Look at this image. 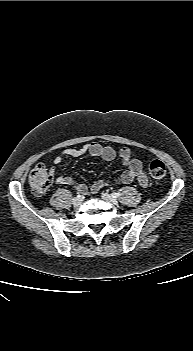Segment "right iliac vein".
Returning a JSON list of instances; mask_svg holds the SVG:
<instances>
[{
    "label": "right iliac vein",
    "instance_id": "63e3f726",
    "mask_svg": "<svg viewBox=\"0 0 193 351\" xmlns=\"http://www.w3.org/2000/svg\"><path fill=\"white\" fill-rule=\"evenodd\" d=\"M81 203H82V199H81V198L75 197V198L72 200V204H73L74 206H79Z\"/></svg>",
    "mask_w": 193,
    "mask_h": 351
}]
</instances>
